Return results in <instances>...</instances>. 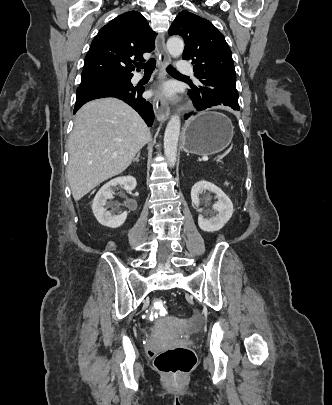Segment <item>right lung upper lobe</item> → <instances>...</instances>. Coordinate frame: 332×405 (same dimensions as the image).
<instances>
[{
    "instance_id": "right-lung-upper-lobe-1",
    "label": "right lung upper lobe",
    "mask_w": 332,
    "mask_h": 405,
    "mask_svg": "<svg viewBox=\"0 0 332 405\" xmlns=\"http://www.w3.org/2000/svg\"><path fill=\"white\" fill-rule=\"evenodd\" d=\"M156 33L137 11L123 13L106 24L91 43L82 77L120 75L132 77V63L145 61L143 53L155 48Z\"/></svg>"
}]
</instances>
